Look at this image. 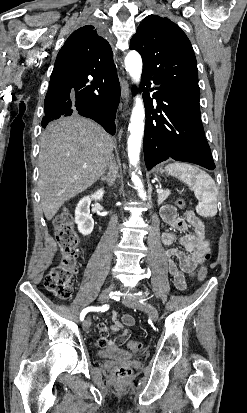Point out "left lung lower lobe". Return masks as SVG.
<instances>
[{"mask_svg": "<svg viewBox=\"0 0 247 413\" xmlns=\"http://www.w3.org/2000/svg\"><path fill=\"white\" fill-rule=\"evenodd\" d=\"M152 82L157 87L149 89ZM141 85L146 109L143 151L147 169L169 158L215 169L201 121L199 100L160 84L150 74L142 73ZM149 91H154L156 109L148 96Z\"/></svg>", "mask_w": 247, "mask_h": 413, "instance_id": "left-lung-lower-lobe-1", "label": "left lung lower lobe"}]
</instances>
